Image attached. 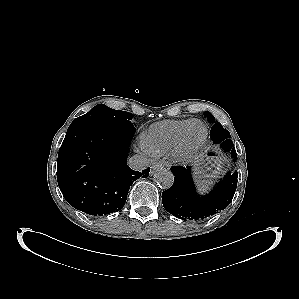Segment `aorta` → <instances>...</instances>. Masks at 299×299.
I'll list each match as a JSON object with an SVG mask.
<instances>
[{
  "instance_id": "obj_1",
  "label": "aorta",
  "mask_w": 299,
  "mask_h": 299,
  "mask_svg": "<svg viewBox=\"0 0 299 299\" xmlns=\"http://www.w3.org/2000/svg\"><path fill=\"white\" fill-rule=\"evenodd\" d=\"M154 181L163 189H168L173 185L174 175L168 169H160L154 174Z\"/></svg>"
}]
</instances>
